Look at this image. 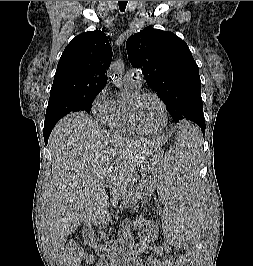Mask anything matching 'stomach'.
Here are the masks:
<instances>
[{
    "instance_id": "0dacf381",
    "label": "stomach",
    "mask_w": 253,
    "mask_h": 266,
    "mask_svg": "<svg viewBox=\"0 0 253 266\" xmlns=\"http://www.w3.org/2000/svg\"><path fill=\"white\" fill-rule=\"evenodd\" d=\"M163 150L157 149L152 154L146 157L141 165L142 171V183L145 187V196H148L153 190L154 185L158 184V177L161 176V170L159 169V160H163ZM144 221V217L140 215L136 219V223L140 224Z\"/></svg>"
}]
</instances>
